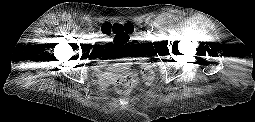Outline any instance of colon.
Returning <instances> with one entry per match:
<instances>
[{
  "label": "colon",
  "mask_w": 255,
  "mask_h": 122,
  "mask_svg": "<svg viewBox=\"0 0 255 122\" xmlns=\"http://www.w3.org/2000/svg\"><path fill=\"white\" fill-rule=\"evenodd\" d=\"M102 31L106 36L111 34H122L130 37L134 34L135 28L130 23L111 25L106 24L103 26ZM142 75L146 81L151 82L154 77V70L152 66L149 64L144 65L142 68ZM137 80V73L134 70H127L116 79L114 86L117 92L127 93L135 87Z\"/></svg>",
  "instance_id": "5ec220e1"
}]
</instances>
